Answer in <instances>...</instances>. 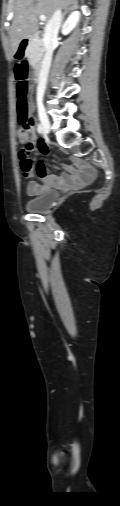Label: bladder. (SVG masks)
<instances>
[{
    "mask_svg": "<svg viewBox=\"0 0 120 506\" xmlns=\"http://www.w3.org/2000/svg\"><path fill=\"white\" fill-rule=\"evenodd\" d=\"M57 198L58 193L56 191H48L38 197L27 199L25 208L33 213H44L55 204Z\"/></svg>",
    "mask_w": 120,
    "mask_h": 506,
    "instance_id": "31cf9c89",
    "label": "bladder"
}]
</instances>
